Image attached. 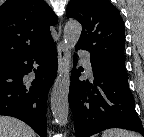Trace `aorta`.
Listing matches in <instances>:
<instances>
[{
    "label": "aorta",
    "mask_w": 144,
    "mask_h": 137,
    "mask_svg": "<svg viewBox=\"0 0 144 137\" xmlns=\"http://www.w3.org/2000/svg\"><path fill=\"white\" fill-rule=\"evenodd\" d=\"M82 26L78 21L69 20L64 27L63 38L66 47L65 62L54 82L51 92V111L55 121L65 126L69 115V87L71 51L81 36Z\"/></svg>",
    "instance_id": "obj_1"
}]
</instances>
